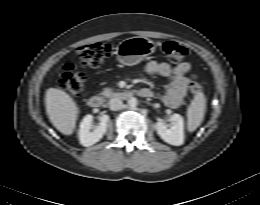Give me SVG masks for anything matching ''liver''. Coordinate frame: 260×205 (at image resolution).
<instances>
[{"mask_svg":"<svg viewBox=\"0 0 260 205\" xmlns=\"http://www.w3.org/2000/svg\"><path fill=\"white\" fill-rule=\"evenodd\" d=\"M46 112L53 126L64 135L75 129L79 109L69 94L57 88H49L45 96Z\"/></svg>","mask_w":260,"mask_h":205,"instance_id":"6515ba94","label":"liver"}]
</instances>
